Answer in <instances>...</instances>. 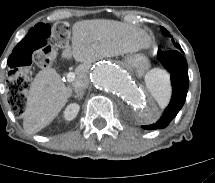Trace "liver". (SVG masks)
Returning <instances> with one entry per match:
<instances>
[{
	"label": "liver",
	"mask_w": 215,
	"mask_h": 183,
	"mask_svg": "<svg viewBox=\"0 0 215 183\" xmlns=\"http://www.w3.org/2000/svg\"><path fill=\"white\" fill-rule=\"evenodd\" d=\"M150 36L134 25L106 19L83 20L72 27V44L66 45L62 58L82 62L76 68V80L87 76V70L96 60L148 49ZM53 68L37 73L27 95L23 127L35 134L49 125L60 113L71 96Z\"/></svg>",
	"instance_id": "obj_1"
}]
</instances>
